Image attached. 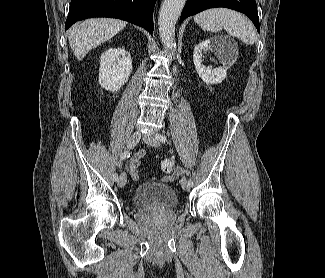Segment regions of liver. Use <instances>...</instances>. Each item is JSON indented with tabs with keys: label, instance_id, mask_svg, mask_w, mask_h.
<instances>
[{
	"label": "liver",
	"instance_id": "obj_1",
	"mask_svg": "<svg viewBox=\"0 0 325 278\" xmlns=\"http://www.w3.org/2000/svg\"><path fill=\"white\" fill-rule=\"evenodd\" d=\"M126 22L111 18H92L74 26L69 31L70 47L79 60L94 47L112 38L125 26Z\"/></svg>",
	"mask_w": 325,
	"mask_h": 278
}]
</instances>
